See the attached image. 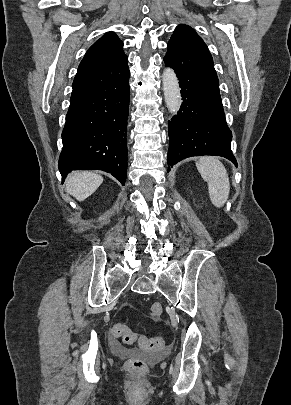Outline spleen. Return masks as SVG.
<instances>
[{
    "label": "spleen",
    "instance_id": "spleen-1",
    "mask_svg": "<svg viewBox=\"0 0 291 405\" xmlns=\"http://www.w3.org/2000/svg\"><path fill=\"white\" fill-rule=\"evenodd\" d=\"M202 178L208 184L209 197L218 208L224 206L230 192V182L224 165L214 157L205 156L196 163Z\"/></svg>",
    "mask_w": 291,
    "mask_h": 405
}]
</instances>
